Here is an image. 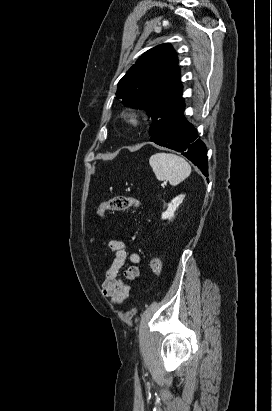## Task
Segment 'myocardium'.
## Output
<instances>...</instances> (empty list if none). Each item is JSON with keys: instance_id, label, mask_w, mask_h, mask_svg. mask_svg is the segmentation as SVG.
Returning <instances> with one entry per match:
<instances>
[{"instance_id": "myocardium-1", "label": "myocardium", "mask_w": 272, "mask_h": 411, "mask_svg": "<svg viewBox=\"0 0 272 411\" xmlns=\"http://www.w3.org/2000/svg\"><path fill=\"white\" fill-rule=\"evenodd\" d=\"M125 121L129 126L138 127L142 123V116L137 112H129L125 116Z\"/></svg>"}]
</instances>
